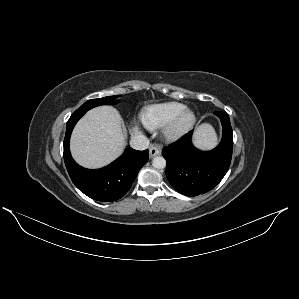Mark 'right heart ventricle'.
Segmentation results:
<instances>
[{"instance_id": "1", "label": "right heart ventricle", "mask_w": 299, "mask_h": 299, "mask_svg": "<svg viewBox=\"0 0 299 299\" xmlns=\"http://www.w3.org/2000/svg\"><path fill=\"white\" fill-rule=\"evenodd\" d=\"M185 108L186 106L179 102H165L150 105L144 110L142 119L148 128L155 129L165 126Z\"/></svg>"}]
</instances>
